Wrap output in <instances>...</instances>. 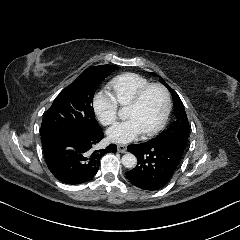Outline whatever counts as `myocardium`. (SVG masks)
<instances>
[{
    "label": "myocardium",
    "mask_w": 240,
    "mask_h": 240,
    "mask_svg": "<svg viewBox=\"0 0 240 240\" xmlns=\"http://www.w3.org/2000/svg\"><path fill=\"white\" fill-rule=\"evenodd\" d=\"M151 88H158L162 92L163 100H164V107H163V113H162L161 119L158 122V124L149 131L141 132L142 135L146 136V137H151V136H154L157 133H159L164 128V126L168 120V116H169L170 108H171V99H170V94H169L167 88L160 83H148V84L142 86L136 92L135 96L130 101V103H128V105H126L124 107V111L133 110V109L137 108L140 105L144 94Z\"/></svg>",
    "instance_id": "obj_1"
}]
</instances>
